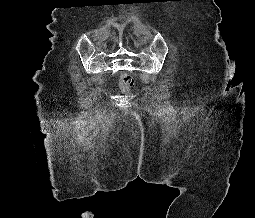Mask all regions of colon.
I'll return each instance as SVG.
<instances>
[{
  "mask_svg": "<svg viewBox=\"0 0 255 218\" xmlns=\"http://www.w3.org/2000/svg\"><path fill=\"white\" fill-rule=\"evenodd\" d=\"M134 85V79L129 73H122L120 77V87L123 91H129Z\"/></svg>",
  "mask_w": 255,
  "mask_h": 218,
  "instance_id": "1",
  "label": "colon"
}]
</instances>
